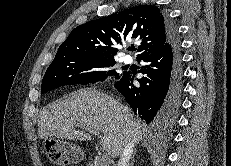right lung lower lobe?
Here are the masks:
<instances>
[{
	"label": "right lung lower lobe",
	"instance_id": "98d812e1",
	"mask_svg": "<svg viewBox=\"0 0 231 166\" xmlns=\"http://www.w3.org/2000/svg\"><path fill=\"white\" fill-rule=\"evenodd\" d=\"M169 40L158 51L138 58L144 76L133 85V77L124 72L115 88L125 97L135 114L155 133L169 128L175 121L182 93L180 40L175 25L168 20Z\"/></svg>",
	"mask_w": 231,
	"mask_h": 166
}]
</instances>
